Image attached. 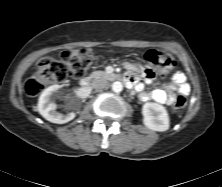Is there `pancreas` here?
<instances>
[{"mask_svg": "<svg viewBox=\"0 0 222 187\" xmlns=\"http://www.w3.org/2000/svg\"><path fill=\"white\" fill-rule=\"evenodd\" d=\"M92 78H105V79H112L115 77L114 74H108L104 71H95L91 74Z\"/></svg>", "mask_w": 222, "mask_h": 187, "instance_id": "obj_1", "label": "pancreas"}]
</instances>
